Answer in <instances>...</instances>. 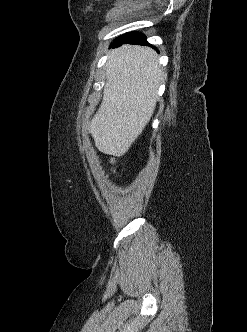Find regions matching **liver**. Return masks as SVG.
Masks as SVG:
<instances>
[{
    "instance_id": "1",
    "label": "liver",
    "mask_w": 247,
    "mask_h": 332,
    "mask_svg": "<svg viewBox=\"0 0 247 332\" xmlns=\"http://www.w3.org/2000/svg\"><path fill=\"white\" fill-rule=\"evenodd\" d=\"M157 59L153 49L136 45L109 53L103 100L88 128L103 153L123 156L150 121L165 76Z\"/></svg>"
}]
</instances>
